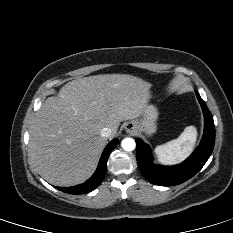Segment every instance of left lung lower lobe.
<instances>
[{
	"label": "left lung lower lobe",
	"instance_id": "left-lung-lower-lobe-1",
	"mask_svg": "<svg viewBox=\"0 0 233 233\" xmlns=\"http://www.w3.org/2000/svg\"><path fill=\"white\" fill-rule=\"evenodd\" d=\"M195 93L203 109L205 128L199 147L187 160L171 167L154 166L150 148L142 140H136L138 166L151 184L172 186L185 182L202 169L213 151L215 142L213 117L199 93L197 91Z\"/></svg>",
	"mask_w": 233,
	"mask_h": 233
}]
</instances>
